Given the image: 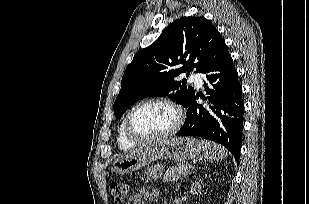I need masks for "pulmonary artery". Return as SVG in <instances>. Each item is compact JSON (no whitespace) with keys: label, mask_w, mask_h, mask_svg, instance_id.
I'll return each instance as SVG.
<instances>
[{"label":"pulmonary artery","mask_w":309,"mask_h":204,"mask_svg":"<svg viewBox=\"0 0 309 204\" xmlns=\"http://www.w3.org/2000/svg\"><path fill=\"white\" fill-rule=\"evenodd\" d=\"M190 81L194 82L197 87H201L202 84H203L202 77H201V75L199 73H193L190 76Z\"/></svg>","instance_id":"obj_1"}]
</instances>
